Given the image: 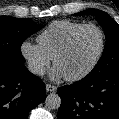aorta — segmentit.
I'll list each match as a JSON object with an SVG mask.
<instances>
[{"instance_id":"1","label":"aorta","mask_w":119,"mask_h":119,"mask_svg":"<svg viewBox=\"0 0 119 119\" xmlns=\"http://www.w3.org/2000/svg\"><path fill=\"white\" fill-rule=\"evenodd\" d=\"M45 105L48 109L56 110L61 106V98L56 93H51L45 98Z\"/></svg>"}]
</instances>
